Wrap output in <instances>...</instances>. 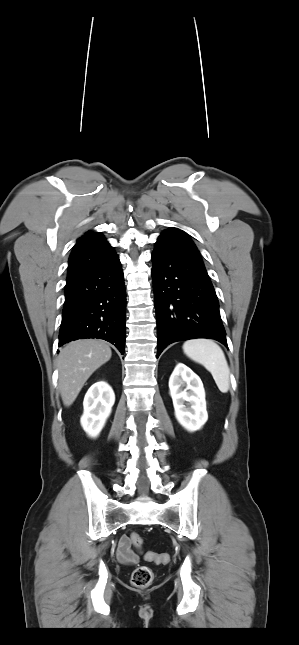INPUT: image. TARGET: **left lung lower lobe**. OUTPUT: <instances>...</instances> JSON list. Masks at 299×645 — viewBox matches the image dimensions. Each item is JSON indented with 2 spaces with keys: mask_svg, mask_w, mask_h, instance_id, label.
<instances>
[{
  "mask_svg": "<svg viewBox=\"0 0 299 645\" xmlns=\"http://www.w3.org/2000/svg\"><path fill=\"white\" fill-rule=\"evenodd\" d=\"M152 259L157 357L171 343L215 339L227 347L219 303L200 253L178 228L161 233Z\"/></svg>",
  "mask_w": 299,
  "mask_h": 645,
  "instance_id": "obj_1",
  "label": "left lung lower lobe"
}]
</instances>
